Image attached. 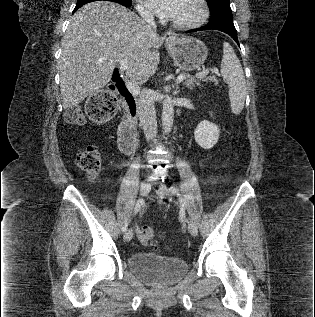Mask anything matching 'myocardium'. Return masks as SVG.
Returning <instances> with one entry per match:
<instances>
[{"label": "myocardium", "instance_id": "myocardium-1", "mask_svg": "<svg viewBox=\"0 0 315 317\" xmlns=\"http://www.w3.org/2000/svg\"><path fill=\"white\" fill-rule=\"evenodd\" d=\"M197 3L199 4V7H200V14L195 20L183 23V22H177L171 19L170 20L171 25L175 28L184 29V30L194 29L203 25L209 16V7L206 0H197Z\"/></svg>", "mask_w": 315, "mask_h": 317}]
</instances>
